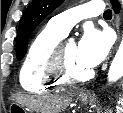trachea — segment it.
I'll use <instances>...</instances> for the list:
<instances>
[{
  "label": "trachea",
  "mask_w": 123,
  "mask_h": 113,
  "mask_svg": "<svg viewBox=\"0 0 123 113\" xmlns=\"http://www.w3.org/2000/svg\"><path fill=\"white\" fill-rule=\"evenodd\" d=\"M104 17H112V12L110 9H107L104 14H103Z\"/></svg>",
  "instance_id": "1"
}]
</instances>
